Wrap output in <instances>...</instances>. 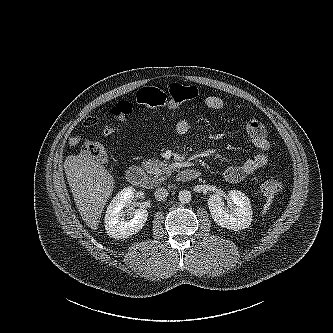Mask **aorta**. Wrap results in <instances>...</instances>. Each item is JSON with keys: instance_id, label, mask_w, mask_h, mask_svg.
Masks as SVG:
<instances>
[{"instance_id": "1", "label": "aorta", "mask_w": 333, "mask_h": 333, "mask_svg": "<svg viewBox=\"0 0 333 333\" xmlns=\"http://www.w3.org/2000/svg\"><path fill=\"white\" fill-rule=\"evenodd\" d=\"M178 199L181 203L186 204L191 201V193L188 190H182L178 194Z\"/></svg>"}]
</instances>
